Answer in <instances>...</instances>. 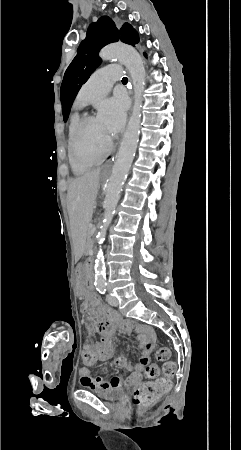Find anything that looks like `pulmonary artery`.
Returning a JSON list of instances; mask_svg holds the SVG:
<instances>
[{
  "mask_svg": "<svg viewBox=\"0 0 241 450\" xmlns=\"http://www.w3.org/2000/svg\"><path fill=\"white\" fill-rule=\"evenodd\" d=\"M120 77L121 66L119 64H102L101 69H95L87 88H83L80 91L77 100L79 102H91L105 96L109 92L111 85L104 86V83H107L108 78Z\"/></svg>",
  "mask_w": 241,
  "mask_h": 450,
  "instance_id": "pulmonary-artery-1",
  "label": "pulmonary artery"
}]
</instances>
